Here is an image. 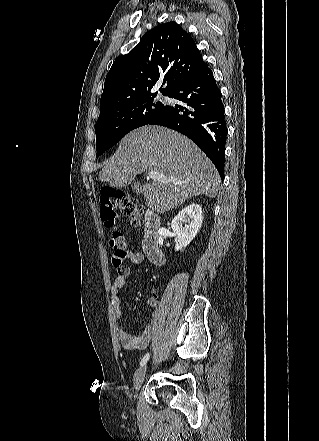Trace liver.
I'll use <instances>...</instances> for the list:
<instances>
[{"instance_id": "obj_1", "label": "liver", "mask_w": 319, "mask_h": 441, "mask_svg": "<svg viewBox=\"0 0 319 441\" xmlns=\"http://www.w3.org/2000/svg\"><path fill=\"white\" fill-rule=\"evenodd\" d=\"M150 171L181 181L154 180L144 184L147 206L158 213L171 210L190 197L205 194L214 198L218 193L220 176L210 159L184 135L156 125L128 133L105 162L99 180L125 187L137 174Z\"/></svg>"}]
</instances>
